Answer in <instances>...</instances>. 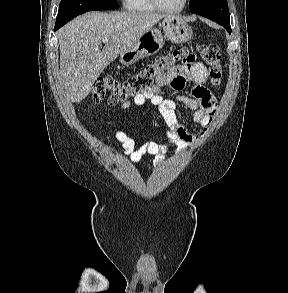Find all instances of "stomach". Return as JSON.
<instances>
[{"label":"stomach","mask_w":288,"mask_h":293,"mask_svg":"<svg viewBox=\"0 0 288 293\" xmlns=\"http://www.w3.org/2000/svg\"><path fill=\"white\" fill-rule=\"evenodd\" d=\"M164 36L158 28H151L142 34L137 41L120 55V62L129 66L139 59L157 53L164 45L165 39L173 43L187 42L192 38L191 27L180 17L167 16L161 23Z\"/></svg>","instance_id":"0dacf381"}]
</instances>
